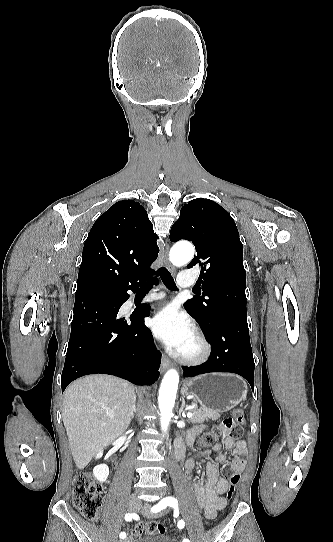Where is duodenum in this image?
<instances>
[{
  "instance_id": "1",
  "label": "duodenum",
  "mask_w": 333,
  "mask_h": 542,
  "mask_svg": "<svg viewBox=\"0 0 333 542\" xmlns=\"http://www.w3.org/2000/svg\"><path fill=\"white\" fill-rule=\"evenodd\" d=\"M195 440V435L193 433H187L183 437H179L176 441V456L178 459H181L184 454L185 444H191Z\"/></svg>"
}]
</instances>
